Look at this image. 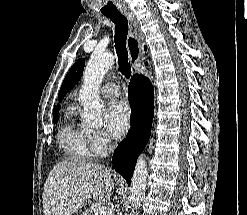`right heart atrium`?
<instances>
[{
    "mask_svg": "<svg viewBox=\"0 0 247 215\" xmlns=\"http://www.w3.org/2000/svg\"><path fill=\"white\" fill-rule=\"evenodd\" d=\"M87 139L92 156H103L114 145L113 139L109 133L101 129L87 130Z\"/></svg>",
    "mask_w": 247,
    "mask_h": 215,
    "instance_id": "d8ad5b80",
    "label": "right heart atrium"
}]
</instances>
